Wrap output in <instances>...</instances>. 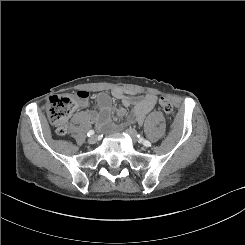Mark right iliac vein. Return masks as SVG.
<instances>
[{"label":"right iliac vein","instance_id":"1","mask_svg":"<svg viewBox=\"0 0 245 245\" xmlns=\"http://www.w3.org/2000/svg\"><path fill=\"white\" fill-rule=\"evenodd\" d=\"M97 142V136H91L89 139H88V143L89 144H95Z\"/></svg>","mask_w":245,"mask_h":245}]
</instances>
